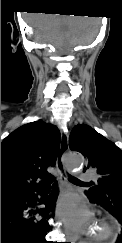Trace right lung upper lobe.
<instances>
[{"label": "right lung upper lobe", "mask_w": 122, "mask_h": 243, "mask_svg": "<svg viewBox=\"0 0 122 243\" xmlns=\"http://www.w3.org/2000/svg\"><path fill=\"white\" fill-rule=\"evenodd\" d=\"M60 145L56 126L42 120L23 125L1 143V198L14 195L37 183L54 166Z\"/></svg>", "instance_id": "obj_1"}]
</instances>
